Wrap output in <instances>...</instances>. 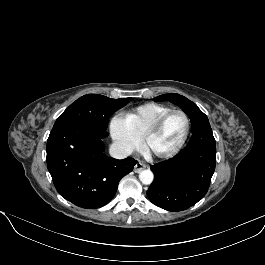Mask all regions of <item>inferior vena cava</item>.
<instances>
[{
	"mask_svg": "<svg viewBox=\"0 0 265 265\" xmlns=\"http://www.w3.org/2000/svg\"><path fill=\"white\" fill-rule=\"evenodd\" d=\"M131 149L123 142L115 141L110 145L109 153L113 158L124 159L131 154Z\"/></svg>",
	"mask_w": 265,
	"mask_h": 265,
	"instance_id": "obj_1",
	"label": "inferior vena cava"
}]
</instances>
